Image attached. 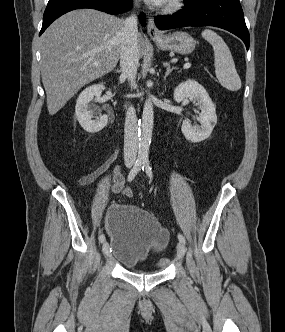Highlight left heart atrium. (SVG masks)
Listing matches in <instances>:
<instances>
[{
  "label": "left heart atrium",
  "instance_id": "left-heart-atrium-1",
  "mask_svg": "<svg viewBox=\"0 0 285 332\" xmlns=\"http://www.w3.org/2000/svg\"><path fill=\"white\" fill-rule=\"evenodd\" d=\"M145 1L154 6H161L164 5L168 0H145Z\"/></svg>",
  "mask_w": 285,
  "mask_h": 332
}]
</instances>
